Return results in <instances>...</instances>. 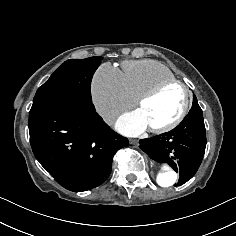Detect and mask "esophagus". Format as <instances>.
Wrapping results in <instances>:
<instances>
[{"mask_svg":"<svg viewBox=\"0 0 236 236\" xmlns=\"http://www.w3.org/2000/svg\"><path fill=\"white\" fill-rule=\"evenodd\" d=\"M129 143L132 145H137L138 144V140L137 139H130Z\"/></svg>","mask_w":236,"mask_h":236,"instance_id":"34e87169","label":"esophagus"}]
</instances>
